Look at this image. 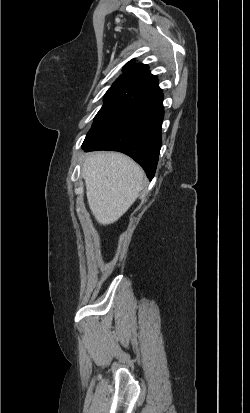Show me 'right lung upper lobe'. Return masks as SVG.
<instances>
[{
  "instance_id": "obj_1",
  "label": "right lung upper lobe",
  "mask_w": 250,
  "mask_h": 413,
  "mask_svg": "<svg viewBox=\"0 0 250 413\" xmlns=\"http://www.w3.org/2000/svg\"><path fill=\"white\" fill-rule=\"evenodd\" d=\"M109 90L132 93L136 97L162 92L158 86L157 77L150 74L148 66L134 63V59L124 66L123 74L117 78Z\"/></svg>"
}]
</instances>
